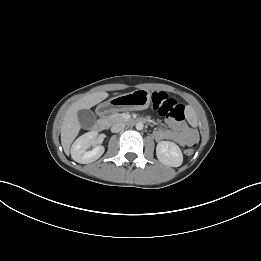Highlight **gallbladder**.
<instances>
[{
  "mask_svg": "<svg viewBox=\"0 0 261 261\" xmlns=\"http://www.w3.org/2000/svg\"><path fill=\"white\" fill-rule=\"evenodd\" d=\"M78 120L82 128L90 129L96 122L95 114L89 109H82L78 111Z\"/></svg>",
  "mask_w": 261,
  "mask_h": 261,
  "instance_id": "gallbladder-1",
  "label": "gallbladder"
}]
</instances>
